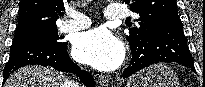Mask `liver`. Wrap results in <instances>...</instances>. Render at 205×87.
Segmentation results:
<instances>
[{
  "label": "liver",
  "mask_w": 205,
  "mask_h": 87,
  "mask_svg": "<svg viewBox=\"0 0 205 87\" xmlns=\"http://www.w3.org/2000/svg\"><path fill=\"white\" fill-rule=\"evenodd\" d=\"M65 77L50 67L26 66L10 75L4 87H69Z\"/></svg>",
  "instance_id": "liver-1"
}]
</instances>
